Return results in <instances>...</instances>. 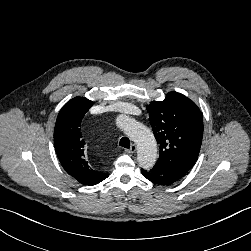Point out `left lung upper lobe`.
<instances>
[{
	"mask_svg": "<svg viewBox=\"0 0 251 251\" xmlns=\"http://www.w3.org/2000/svg\"><path fill=\"white\" fill-rule=\"evenodd\" d=\"M160 155L157 166L187 173L195 164L203 137V117L197 105L177 92L146 106Z\"/></svg>",
	"mask_w": 251,
	"mask_h": 251,
	"instance_id": "obj_1",
	"label": "left lung upper lobe"
}]
</instances>
